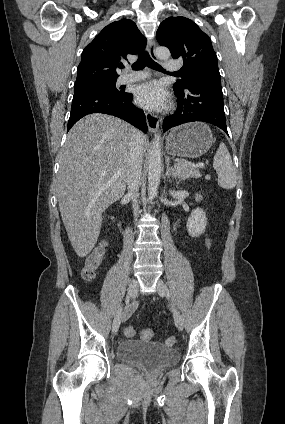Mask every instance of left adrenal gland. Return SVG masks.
I'll return each mask as SVG.
<instances>
[{"mask_svg":"<svg viewBox=\"0 0 285 424\" xmlns=\"http://www.w3.org/2000/svg\"><path fill=\"white\" fill-rule=\"evenodd\" d=\"M174 168L170 166V158L166 157V176L170 178V176H174Z\"/></svg>","mask_w":285,"mask_h":424,"instance_id":"obj_1","label":"left adrenal gland"}]
</instances>
